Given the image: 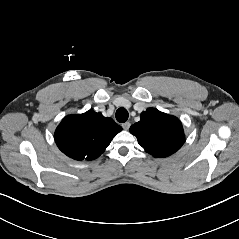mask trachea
<instances>
[{"mask_svg": "<svg viewBox=\"0 0 239 239\" xmlns=\"http://www.w3.org/2000/svg\"><path fill=\"white\" fill-rule=\"evenodd\" d=\"M116 119L120 123H125L128 119V111L121 107L116 111Z\"/></svg>", "mask_w": 239, "mask_h": 239, "instance_id": "trachea-1", "label": "trachea"}]
</instances>
